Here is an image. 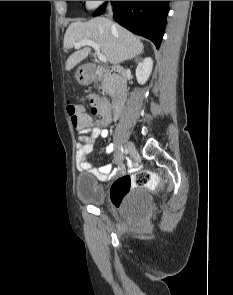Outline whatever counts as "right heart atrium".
Listing matches in <instances>:
<instances>
[{
  "label": "right heart atrium",
  "instance_id": "obj_1",
  "mask_svg": "<svg viewBox=\"0 0 233 295\" xmlns=\"http://www.w3.org/2000/svg\"><path fill=\"white\" fill-rule=\"evenodd\" d=\"M104 1H85L87 9H96L98 8Z\"/></svg>",
  "mask_w": 233,
  "mask_h": 295
}]
</instances>
